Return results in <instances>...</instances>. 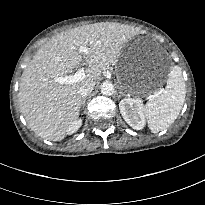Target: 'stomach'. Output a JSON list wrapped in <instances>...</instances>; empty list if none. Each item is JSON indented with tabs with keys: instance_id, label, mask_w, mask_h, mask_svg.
Here are the masks:
<instances>
[{
	"instance_id": "stomach-1",
	"label": "stomach",
	"mask_w": 205,
	"mask_h": 205,
	"mask_svg": "<svg viewBox=\"0 0 205 205\" xmlns=\"http://www.w3.org/2000/svg\"><path fill=\"white\" fill-rule=\"evenodd\" d=\"M142 50L135 43L126 44L118 57L117 75L127 92L151 94L158 90V86L142 80L138 73L140 64L146 63L141 57L148 58L147 52L143 55Z\"/></svg>"
}]
</instances>
